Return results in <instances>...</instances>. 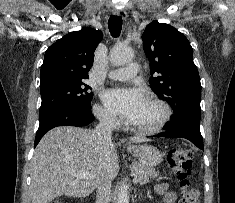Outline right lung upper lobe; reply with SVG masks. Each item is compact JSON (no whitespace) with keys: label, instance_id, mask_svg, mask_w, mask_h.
Wrapping results in <instances>:
<instances>
[{"label":"right lung upper lobe","instance_id":"obj_1","mask_svg":"<svg viewBox=\"0 0 235 203\" xmlns=\"http://www.w3.org/2000/svg\"><path fill=\"white\" fill-rule=\"evenodd\" d=\"M102 37L99 30L83 28L57 40L45 52L40 85L87 79L93 64L94 51Z\"/></svg>","mask_w":235,"mask_h":203}]
</instances>
